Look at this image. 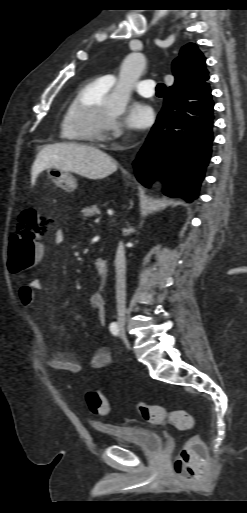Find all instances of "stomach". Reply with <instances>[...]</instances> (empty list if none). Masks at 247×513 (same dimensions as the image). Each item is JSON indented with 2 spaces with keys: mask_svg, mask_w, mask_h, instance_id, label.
<instances>
[{
  "mask_svg": "<svg viewBox=\"0 0 247 513\" xmlns=\"http://www.w3.org/2000/svg\"><path fill=\"white\" fill-rule=\"evenodd\" d=\"M47 174L51 181L63 190L67 192L76 190V179L69 171L51 167L47 169Z\"/></svg>",
  "mask_w": 247,
  "mask_h": 513,
  "instance_id": "obj_1",
  "label": "stomach"
}]
</instances>
